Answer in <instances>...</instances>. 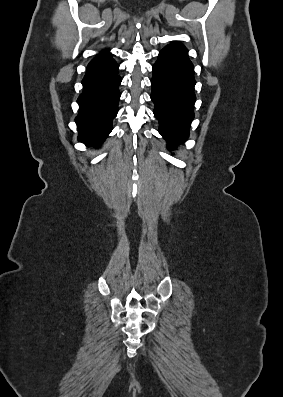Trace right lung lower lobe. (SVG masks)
I'll list each match as a JSON object with an SVG mask.
<instances>
[{"instance_id":"right-lung-lower-lobe-1","label":"right lung lower lobe","mask_w":283,"mask_h":397,"mask_svg":"<svg viewBox=\"0 0 283 397\" xmlns=\"http://www.w3.org/2000/svg\"><path fill=\"white\" fill-rule=\"evenodd\" d=\"M119 65L114 59L89 64L82 80L84 90L77 99L79 113L75 118L78 140L86 146H99L112 131L118 112L120 91Z\"/></svg>"}]
</instances>
